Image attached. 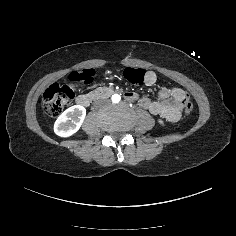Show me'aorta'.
<instances>
[{"label":"aorta","mask_w":236,"mask_h":236,"mask_svg":"<svg viewBox=\"0 0 236 236\" xmlns=\"http://www.w3.org/2000/svg\"><path fill=\"white\" fill-rule=\"evenodd\" d=\"M111 101H112L113 103H119V101H120V96L117 95V94L112 95Z\"/></svg>","instance_id":"762f6f07"}]
</instances>
